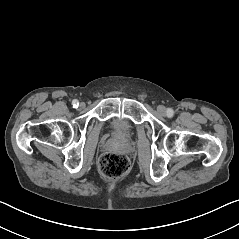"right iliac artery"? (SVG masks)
<instances>
[{
    "mask_svg": "<svg viewBox=\"0 0 239 239\" xmlns=\"http://www.w3.org/2000/svg\"><path fill=\"white\" fill-rule=\"evenodd\" d=\"M72 105H73V107H74V108H77V107H78V105H79V102H78V100H76V99H75V100H73V101H72Z\"/></svg>",
    "mask_w": 239,
    "mask_h": 239,
    "instance_id": "right-iliac-artery-1",
    "label": "right iliac artery"
}]
</instances>
